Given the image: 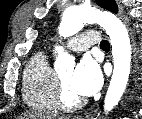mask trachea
I'll use <instances>...</instances> for the list:
<instances>
[{"mask_svg": "<svg viewBox=\"0 0 142 119\" xmlns=\"http://www.w3.org/2000/svg\"><path fill=\"white\" fill-rule=\"evenodd\" d=\"M110 45H109V42L107 40H103L101 43H100V48H109Z\"/></svg>", "mask_w": 142, "mask_h": 119, "instance_id": "1", "label": "trachea"}]
</instances>
